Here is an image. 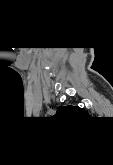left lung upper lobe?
<instances>
[{
    "mask_svg": "<svg viewBox=\"0 0 113 165\" xmlns=\"http://www.w3.org/2000/svg\"><path fill=\"white\" fill-rule=\"evenodd\" d=\"M58 114L83 117V116L87 115V112L84 109L79 108V107L64 106V107H59L57 109V115Z\"/></svg>",
    "mask_w": 113,
    "mask_h": 165,
    "instance_id": "5c2ea615",
    "label": "left lung upper lobe"
}]
</instances>
